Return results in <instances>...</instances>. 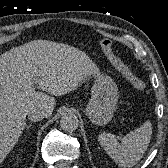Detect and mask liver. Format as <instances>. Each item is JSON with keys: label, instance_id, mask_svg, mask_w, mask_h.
<instances>
[{"label": "liver", "instance_id": "1", "mask_svg": "<svg viewBox=\"0 0 168 168\" xmlns=\"http://www.w3.org/2000/svg\"><path fill=\"white\" fill-rule=\"evenodd\" d=\"M95 74L99 70L84 52L63 43L34 40L0 55V163L17 143L31 109L51 116L53 96L75 90ZM34 84L47 94L35 91Z\"/></svg>", "mask_w": 168, "mask_h": 168}]
</instances>
